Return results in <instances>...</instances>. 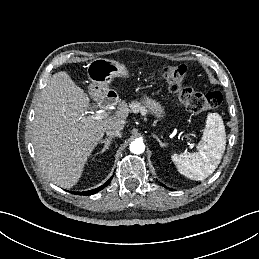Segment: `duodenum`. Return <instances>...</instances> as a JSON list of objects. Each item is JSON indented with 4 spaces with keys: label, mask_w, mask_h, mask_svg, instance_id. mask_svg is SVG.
<instances>
[{
    "label": "duodenum",
    "mask_w": 259,
    "mask_h": 259,
    "mask_svg": "<svg viewBox=\"0 0 259 259\" xmlns=\"http://www.w3.org/2000/svg\"><path fill=\"white\" fill-rule=\"evenodd\" d=\"M114 99H111L109 95H106L102 100H101V104L102 105H112L114 103Z\"/></svg>",
    "instance_id": "410a0bca"
}]
</instances>
